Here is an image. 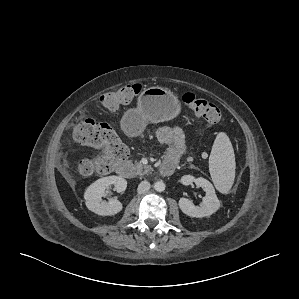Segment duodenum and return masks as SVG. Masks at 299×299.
Returning a JSON list of instances; mask_svg holds the SVG:
<instances>
[{"label": "duodenum", "instance_id": "duodenum-1", "mask_svg": "<svg viewBox=\"0 0 299 299\" xmlns=\"http://www.w3.org/2000/svg\"><path fill=\"white\" fill-rule=\"evenodd\" d=\"M176 168V163L172 161H163L160 166V172L162 175L169 176L171 175ZM117 173L125 178H130L133 176V167L129 163H122L117 168Z\"/></svg>", "mask_w": 299, "mask_h": 299}]
</instances>
